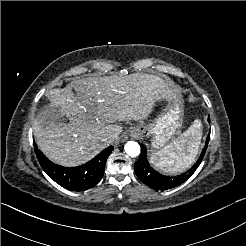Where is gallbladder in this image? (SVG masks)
<instances>
[{
	"label": "gallbladder",
	"instance_id": "gallbladder-1",
	"mask_svg": "<svg viewBox=\"0 0 246 246\" xmlns=\"http://www.w3.org/2000/svg\"><path fill=\"white\" fill-rule=\"evenodd\" d=\"M41 111H44V115L50 120L56 116V110L48 105L44 106Z\"/></svg>",
	"mask_w": 246,
	"mask_h": 246
}]
</instances>
